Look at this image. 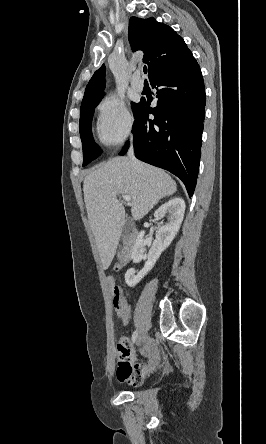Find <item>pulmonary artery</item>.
<instances>
[{"mask_svg": "<svg viewBox=\"0 0 266 444\" xmlns=\"http://www.w3.org/2000/svg\"><path fill=\"white\" fill-rule=\"evenodd\" d=\"M138 76H139V73L136 72V73L134 74L132 80H131V87H132L135 91H137V92H141V91H143V89H144V85H143V82H142V81H139V80H138Z\"/></svg>", "mask_w": 266, "mask_h": 444, "instance_id": "pulmonary-artery-1", "label": "pulmonary artery"}]
</instances>
